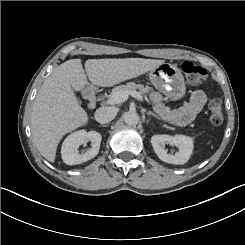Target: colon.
I'll return each mask as SVG.
<instances>
[{"instance_id": "1", "label": "colon", "mask_w": 245, "mask_h": 245, "mask_svg": "<svg viewBox=\"0 0 245 245\" xmlns=\"http://www.w3.org/2000/svg\"><path fill=\"white\" fill-rule=\"evenodd\" d=\"M182 72L187 79L193 84H201L206 80V70L190 61H184L180 64ZM209 120L215 125L219 126L223 122V112L221 101L217 98H212L207 104Z\"/></svg>"}]
</instances>
